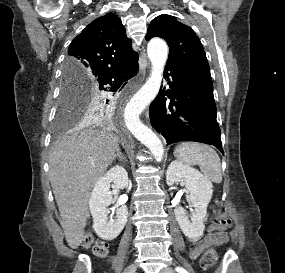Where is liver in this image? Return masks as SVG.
Listing matches in <instances>:
<instances>
[{"mask_svg":"<svg viewBox=\"0 0 285 273\" xmlns=\"http://www.w3.org/2000/svg\"><path fill=\"white\" fill-rule=\"evenodd\" d=\"M90 123L86 119L60 138L49 159L50 183L62 218L61 226L72 249H77L84 238L90 191L119 148L115 135L83 129Z\"/></svg>","mask_w":285,"mask_h":273,"instance_id":"1","label":"liver"}]
</instances>
